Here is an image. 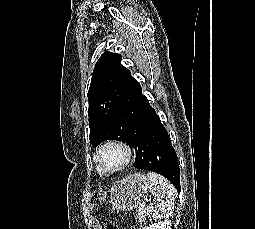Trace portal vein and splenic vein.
<instances>
[{"label": "portal vein and splenic vein", "instance_id": "18ae733b", "mask_svg": "<svg viewBox=\"0 0 255 229\" xmlns=\"http://www.w3.org/2000/svg\"><path fill=\"white\" fill-rule=\"evenodd\" d=\"M148 202V200L146 199L143 203H142V208H144L146 206V203Z\"/></svg>", "mask_w": 255, "mask_h": 229}]
</instances>
